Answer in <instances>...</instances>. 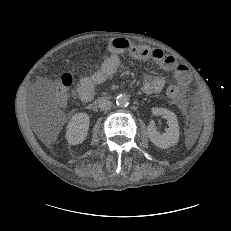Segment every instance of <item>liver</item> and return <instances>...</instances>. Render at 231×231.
<instances>
[{
	"label": "liver",
	"mask_w": 231,
	"mask_h": 231,
	"mask_svg": "<svg viewBox=\"0 0 231 231\" xmlns=\"http://www.w3.org/2000/svg\"><path fill=\"white\" fill-rule=\"evenodd\" d=\"M57 136V132L55 134H53V136L49 137L48 139L46 138L47 143H50L51 141H53Z\"/></svg>",
	"instance_id": "obj_1"
}]
</instances>
